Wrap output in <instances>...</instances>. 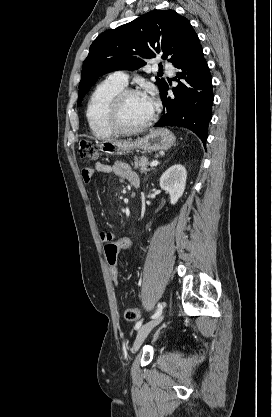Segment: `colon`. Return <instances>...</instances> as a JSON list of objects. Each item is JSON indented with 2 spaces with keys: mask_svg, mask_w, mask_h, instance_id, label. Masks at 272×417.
<instances>
[{
  "mask_svg": "<svg viewBox=\"0 0 272 417\" xmlns=\"http://www.w3.org/2000/svg\"><path fill=\"white\" fill-rule=\"evenodd\" d=\"M80 157L87 160H94L98 151L96 146L89 140H82L79 145ZM131 245L128 237H115L105 243L104 253L109 266L110 277L115 286L119 283L118 254L127 250ZM140 315L138 308H127L124 311L126 320L134 321Z\"/></svg>",
  "mask_w": 272,
  "mask_h": 417,
  "instance_id": "1",
  "label": "colon"
}]
</instances>
